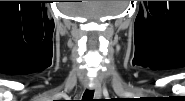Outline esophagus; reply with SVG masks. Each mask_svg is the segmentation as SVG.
<instances>
[{"label": "esophagus", "instance_id": "34e87169", "mask_svg": "<svg viewBox=\"0 0 185 101\" xmlns=\"http://www.w3.org/2000/svg\"><path fill=\"white\" fill-rule=\"evenodd\" d=\"M90 90L94 91V97L100 98L101 97V88L97 82V80H93L89 86Z\"/></svg>", "mask_w": 185, "mask_h": 101}]
</instances>
